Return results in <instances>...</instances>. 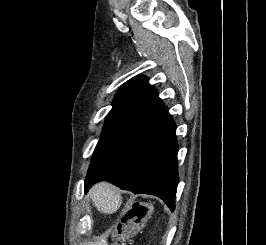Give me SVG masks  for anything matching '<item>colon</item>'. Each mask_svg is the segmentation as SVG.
Returning <instances> with one entry per match:
<instances>
[{"label":"colon","mask_w":266,"mask_h":245,"mask_svg":"<svg viewBox=\"0 0 266 245\" xmlns=\"http://www.w3.org/2000/svg\"><path fill=\"white\" fill-rule=\"evenodd\" d=\"M150 212V204L146 201H137L128 207L114 228L113 234L116 239L122 245H132L133 237L142 228Z\"/></svg>","instance_id":"obj_1"}]
</instances>
